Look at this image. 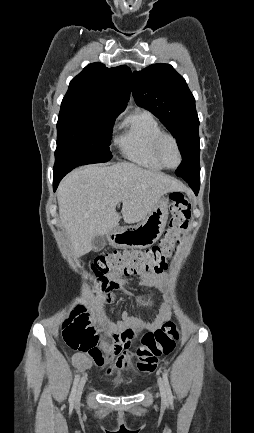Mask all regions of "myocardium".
<instances>
[{"label":"myocardium","instance_id":"1","mask_svg":"<svg viewBox=\"0 0 254 433\" xmlns=\"http://www.w3.org/2000/svg\"><path fill=\"white\" fill-rule=\"evenodd\" d=\"M166 138L170 139L174 143L176 150H177V153H178V157H179V161H178L177 165H175L173 167L167 166L162 161L160 153H159L160 145H161L162 141ZM152 152H153L155 159L161 164V166L163 168L170 169V170L176 169L180 166V164L182 162V152H181L180 145H179L177 139L170 133L161 132L154 138L153 145H152Z\"/></svg>","mask_w":254,"mask_h":433}]
</instances>
